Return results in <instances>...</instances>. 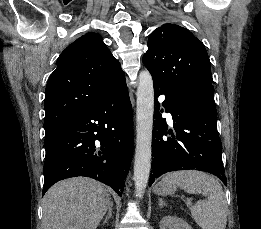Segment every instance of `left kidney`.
Instances as JSON below:
<instances>
[{
  "instance_id": "left-kidney-1",
  "label": "left kidney",
  "mask_w": 261,
  "mask_h": 229,
  "mask_svg": "<svg viewBox=\"0 0 261 229\" xmlns=\"http://www.w3.org/2000/svg\"><path fill=\"white\" fill-rule=\"evenodd\" d=\"M160 229H192L188 223L178 217H163L159 223Z\"/></svg>"
}]
</instances>
